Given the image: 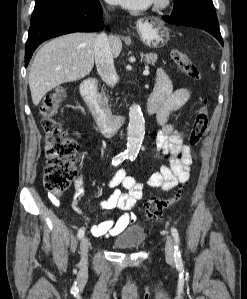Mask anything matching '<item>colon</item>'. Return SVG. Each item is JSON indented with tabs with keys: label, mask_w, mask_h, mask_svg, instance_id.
<instances>
[{
	"label": "colon",
	"mask_w": 247,
	"mask_h": 299,
	"mask_svg": "<svg viewBox=\"0 0 247 299\" xmlns=\"http://www.w3.org/2000/svg\"><path fill=\"white\" fill-rule=\"evenodd\" d=\"M171 58L177 68L188 78L198 79L199 72L189 56L181 50H173ZM65 96V91L54 93L47 97L42 106V130L45 134L46 164L44 169V185L54 196H60L67 190L75 179L77 171L74 167L78 151L77 143L63 130L61 123L55 115L59 104ZM207 100L198 110L193 121L188 142L190 146L198 145L205 134L209 114L206 106ZM183 195V190L178 189L174 195L167 199L151 198L147 201L145 215L149 220L161 218L165 209L177 203Z\"/></svg>",
	"instance_id": "5ec220e1"
}]
</instances>
